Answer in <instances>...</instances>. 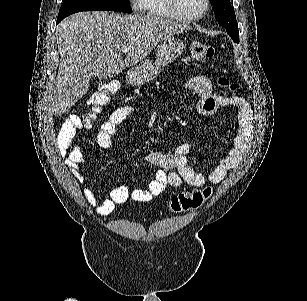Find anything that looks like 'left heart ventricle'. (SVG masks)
Returning a JSON list of instances; mask_svg holds the SVG:
<instances>
[{"label": "left heart ventricle", "instance_id": "1", "mask_svg": "<svg viewBox=\"0 0 307 301\" xmlns=\"http://www.w3.org/2000/svg\"><path fill=\"white\" fill-rule=\"evenodd\" d=\"M176 2L178 7L174 13H194V11H200L202 6V0H180Z\"/></svg>", "mask_w": 307, "mask_h": 301}]
</instances>
